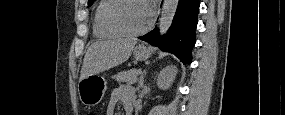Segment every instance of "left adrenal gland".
<instances>
[{
    "label": "left adrenal gland",
    "instance_id": "1",
    "mask_svg": "<svg viewBox=\"0 0 285 115\" xmlns=\"http://www.w3.org/2000/svg\"><path fill=\"white\" fill-rule=\"evenodd\" d=\"M143 82H144V79L141 78V79H140V84H141V86H143Z\"/></svg>",
    "mask_w": 285,
    "mask_h": 115
}]
</instances>
